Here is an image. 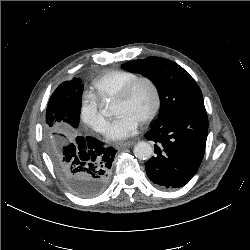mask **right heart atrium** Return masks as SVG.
Segmentation results:
<instances>
[{
	"instance_id": "right-heart-atrium-1",
	"label": "right heart atrium",
	"mask_w": 250,
	"mask_h": 250,
	"mask_svg": "<svg viewBox=\"0 0 250 250\" xmlns=\"http://www.w3.org/2000/svg\"><path fill=\"white\" fill-rule=\"evenodd\" d=\"M80 119L85 126L98 133H103L107 127V121L101 114L99 102L90 94H86L82 99Z\"/></svg>"
}]
</instances>
